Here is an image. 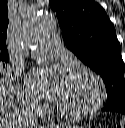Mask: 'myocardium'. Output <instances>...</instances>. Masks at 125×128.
Masks as SVG:
<instances>
[{
  "mask_svg": "<svg viewBox=\"0 0 125 128\" xmlns=\"http://www.w3.org/2000/svg\"><path fill=\"white\" fill-rule=\"evenodd\" d=\"M69 75H85L92 79L97 87V96L90 106L78 111H68L56 104L57 113L63 118L77 120L89 117L99 111L106 100V87L100 75L87 67H75L69 72Z\"/></svg>",
  "mask_w": 125,
  "mask_h": 128,
  "instance_id": "obj_1",
  "label": "myocardium"
}]
</instances>
